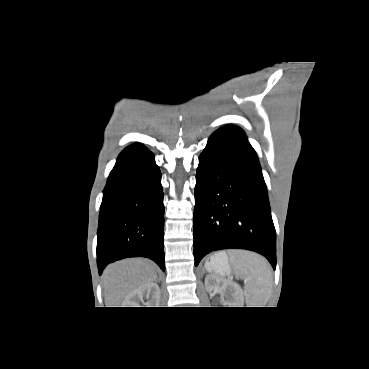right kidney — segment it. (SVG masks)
<instances>
[{
    "label": "right kidney",
    "mask_w": 369,
    "mask_h": 369,
    "mask_svg": "<svg viewBox=\"0 0 369 369\" xmlns=\"http://www.w3.org/2000/svg\"><path fill=\"white\" fill-rule=\"evenodd\" d=\"M147 296L148 301L143 302L144 307H157L160 299V288L157 283L144 284L128 294L122 302V307H140L143 297Z\"/></svg>",
    "instance_id": "ca27d5eb"
}]
</instances>
